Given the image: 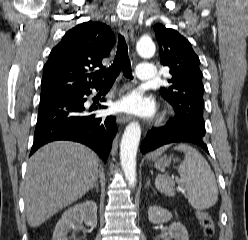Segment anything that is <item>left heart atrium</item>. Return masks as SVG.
<instances>
[{
    "mask_svg": "<svg viewBox=\"0 0 248 240\" xmlns=\"http://www.w3.org/2000/svg\"><path fill=\"white\" fill-rule=\"evenodd\" d=\"M118 107L122 111L136 115H151L153 113V102L139 91H132L127 94L119 102Z\"/></svg>",
    "mask_w": 248,
    "mask_h": 240,
    "instance_id": "39dd6f15",
    "label": "left heart atrium"
}]
</instances>
